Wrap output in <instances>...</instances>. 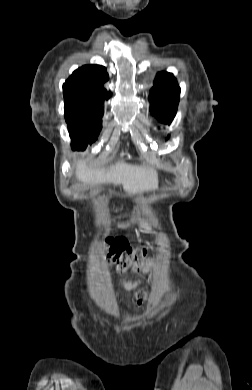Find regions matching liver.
Returning <instances> with one entry per match:
<instances>
[{
	"label": "liver",
	"instance_id": "1",
	"mask_svg": "<svg viewBox=\"0 0 252 390\" xmlns=\"http://www.w3.org/2000/svg\"><path fill=\"white\" fill-rule=\"evenodd\" d=\"M76 178L86 184L112 183L122 185L123 189L133 195L154 187V178L149 168L118 161L109 168L88 167L87 162L79 160Z\"/></svg>",
	"mask_w": 252,
	"mask_h": 390
}]
</instances>
